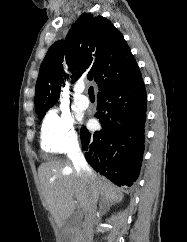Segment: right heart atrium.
Here are the masks:
<instances>
[{"label":"right heart atrium","mask_w":187,"mask_h":242,"mask_svg":"<svg viewBox=\"0 0 187 242\" xmlns=\"http://www.w3.org/2000/svg\"><path fill=\"white\" fill-rule=\"evenodd\" d=\"M41 146L48 153H64L77 146L72 117L59 109L50 110L41 127Z\"/></svg>","instance_id":"d8ad5b80"}]
</instances>
